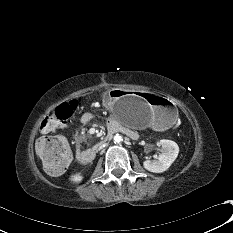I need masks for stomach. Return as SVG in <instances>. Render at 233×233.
Returning <instances> with one entry per match:
<instances>
[{
    "instance_id": "stomach-1",
    "label": "stomach",
    "mask_w": 233,
    "mask_h": 233,
    "mask_svg": "<svg viewBox=\"0 0 233 233\" xmlns=\"http://www.w3.org/2000/svg\"><path fill=\"white\" fill-rule=\"evenodd\" d=\"M104 106L120 123L134 128H166L174 124L178 110L165 96L112 89L106 93Z\"/></svg>"
}]
</instances>
